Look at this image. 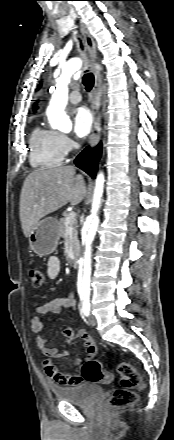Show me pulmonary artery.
Returning <instances> with one entry per match:
<instances>
[{
    "instance_id": "pulmonary-artery-1",
    "label": "pulmonary artery",
    "mask_w": 174,
    "mask_h": 440,
    "mask_svg": "<svg viewBox=\"0 0 174 440\" xmlns=\"http://www.w3.org/2000/svg\"><path fill=\"white\" fill-rule=\"evenodd\" d=\"M69 101L73 104H77L81 101L82 97L79 91H72L68 97Z\"/></svg>"
}]
</instances>
